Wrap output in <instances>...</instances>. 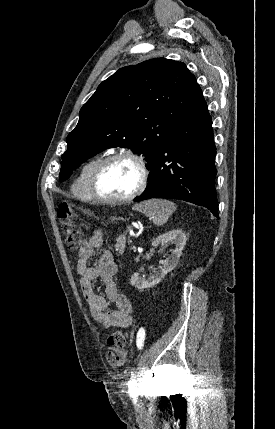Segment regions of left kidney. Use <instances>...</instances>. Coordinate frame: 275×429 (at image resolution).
Segmentation results:
<instances>
[{
  "label": "left kidney",
  "mask_w": 275,
  "mask_h": 429,
  "mask_svg": "<svg viewBox=\"0 0 275 429\" xmlns=\"http://www.w3.org/2000/svg\"><path fill=\"white\" fill-rule=\"evenodd\" d=\"M186 240L185 233L180 229H173L154 238L152 241L153 247H157L160 244H174L175 248L170 250L171 253L165 260L159 261L162 267L158 271H154L152 276L145 279L141 277L139 273H134L131 277L130 284L139 290L151 288L158 284L165 275L177 266Z\"/></svg>",
  "instance_id": "1"
}]
</instances>
